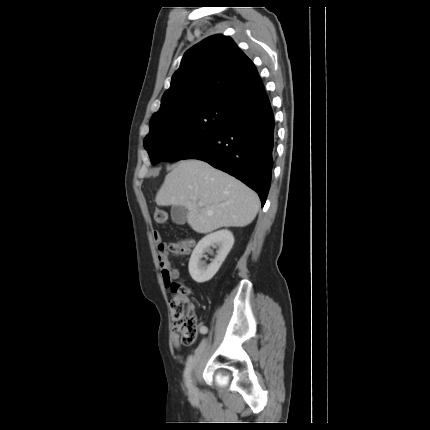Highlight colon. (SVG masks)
Listing matches in <instances>:
<instances>
[{
    "label": "colon",
    "instance_id": "obj_1",
    "mask_svg": "<svg viewBox=\"0 0 430 430\" xmlns=\"http://www.w3.org/2000/svg\"><path fill=\"white\" fill-rule=\"evenodd\" d=\"M154 219L157 223L164 224L167 221V213L162 209H157L154 212ZM189 248L190 241L184 240L172 243L169 246L161 247L160 251H163L166 256L168 253L173 255H182L188 252ZM168 288L172 292L170 308L173 320V329L178 334L184 345H190L197 337L198 325L194 307L188 297V288L184 283L178 280H175V285L173 287Z\"/></svg>",
    "mask_w": 430,
    "mask_h": 430
}]
</instances>
